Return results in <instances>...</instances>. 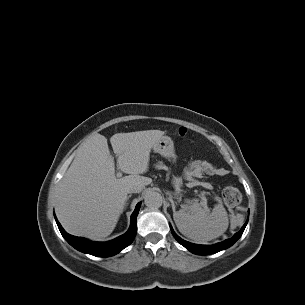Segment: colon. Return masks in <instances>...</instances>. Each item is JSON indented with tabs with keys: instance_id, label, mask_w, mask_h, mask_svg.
<instances>
[{
	"instance_id": "obj_1",
	"label": "colon",
	"mask_w": 305,
	"mask_h": 305,
	"mask_svg": "<svg viewBox=\"0 0 305 305\" xmlns=\"http://www.w3.org/2000/svg\"><path fill=\"white\" fill-rule=\"evenodd\" d=\"M187 129L185 127H181L178 130V134L183 137L187 134ZM222 197L225 204L228 207H236L241 202V193L239 190L233 186H227L222 191Z\"/></svg>"
}]
</instances>
